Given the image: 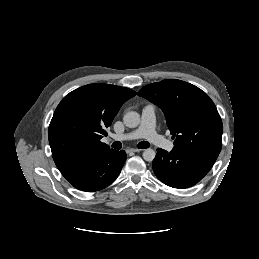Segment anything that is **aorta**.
<instances>
[{"label":"aorta","mask_w":259,"mask_h":259,"mask_svg":"<svg viewBox=\"0 0 259 259\" xmlns=\"http://www.w3.org/2000/svg\"><path fill=\"white\" fill-rule=\"evenodd\" d=\"M124 124L129 128H135L140 123V115L136 111H128L123 117ZM155 151L152 148H147L143 152L145 161L151 162L155 158Z\"/></svg>","instance_id":"762f6f07"}]
</instances>
